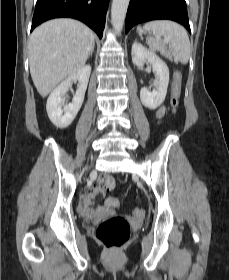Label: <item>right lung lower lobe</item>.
Returning <instances> with one entry per match:
<instances>
[{"label":"right lung lower lobe","instance_id":"right-lung-lower-lobe-1","mask_svg":"<svg viewBox=\"0 0 229 280\" xmlns=\"http://www.w3.org/2000/svg\"><path fill=\"white\" fill-rule=\"evenodd\" d=\"M109 0H37L31 31L41 23L60 17L78 19L103 35Z\"/></svg>","mask_w":229,"mask_h":280}]
</instances>
